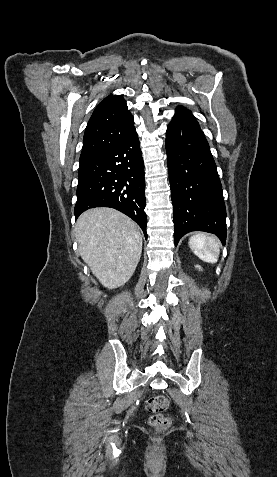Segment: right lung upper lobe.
Segmentation results:
<instances>
[{"instance_id": "cb5924a9", "label": "right lung upper lobe", "mask_w": 277, "mask_h": 477, "mask_svg": "<svg viewBox=\"0 0 277 477\" xmlns=\"http://www.w3.org/2000/svg\"><path fill=\"white\" fill-rule=\"evenodd\" d=\"M134 129V119L124 98L109 95L97 105L87 124L80 160L111 148Z\"/></svg>"}]
</instances>
